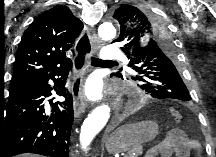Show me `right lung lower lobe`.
Returning a JSON list of instances; mask_svg holds the SVG:
<instances>
[{
	"instance_id": "98d812e1",
	"label": "right lung lower lobe",
	"mask_w": 216,
	"mask_h": 157,
	"mask_svg": "<svg viewBox=\"0 0 216 157\" xmlns=\"http://www.w3.org/2000/svg\"><path fill=\"white\" fill-rule=\"evenodd\" d=\"M72 63L9 92L0 107V157L36 153L47 157H69L70 131L74 120L72 95L65 83ZM49 80L57 95L65 98L45 113L44 97L51 95Z\"/></svg>"
}]
</instances>
